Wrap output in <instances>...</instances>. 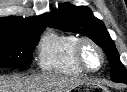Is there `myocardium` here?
Wrapping results in <instances>:
<instances>
[{
  "label": "myocardium",
  "instance_id": "myocardium-1",
  "mask_svg": "<svg viewBox=\"0 0 127 92\" xmlns=\"http://www.w3.org/2000/svg\"><path fill=\"white\" fill-rule=\"evenodd\" d=\"M86 45L92 46L100 55L101 61H100V65L98 68L96 69H91L89 68L85 61H84V57H83V49ZM74 59L76 64L83 70L86 72H97L99 71L105 64V60H106V56L105 53L102 49V47L95 42L93 39L88 38V37H82L79 38L78 41L76 42L75 48H74Z\"/></svg>",
  "mask_w": 127,
  "mask_h": 92
}]
</instances>
